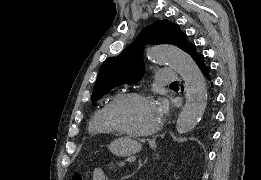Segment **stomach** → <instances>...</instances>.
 Here are the masks:
<instances>
[{
  "mask_svg": "<svg viewBox=\"0 0 261 180\" xmlns=\"http://www.w3.org/2000/svg\"><path fill=\"white\" fill-rule=\"evenodd\" d=\"M109 150L116 156L127 157L138 153L141 150V144L129 137H121L111 142Z\"/></svg>",
  "mask_w": 261,
  "mask_h": 180,
  "instance_id": "obj_1",
  "label": "stomach"
}]
</instances>
